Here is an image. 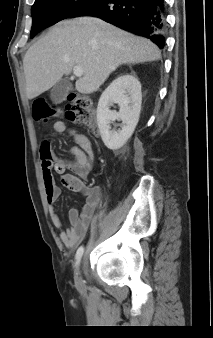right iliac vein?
<instances>
[{
	"label": "right iliac vein",
	"mask_w": 213,
	"mask_h": 338,
	"mask_svg": "<svg viewBox=\"0 0 213 338\" xmlns=\"http://www.w3.org/2000/svg\"><path fill=\"white\" fill-rule=\"evenodd\" d=\"M75 282H76L77 285H81L82 284V277H81L80 268H78L76 270Z\"/></svg>",
	"instance_id": "obj_1"
}]
</instances>
